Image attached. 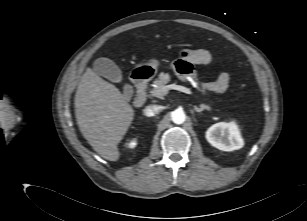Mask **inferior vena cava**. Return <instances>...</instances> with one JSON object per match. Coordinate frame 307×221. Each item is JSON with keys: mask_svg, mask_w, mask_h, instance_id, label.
I'll return each mask as SVG.
<instances>
[{"mask_svg": "<svg viewBox=\"0 0 307 221\" xmlns=\"http://www.w3.org/2000/svg\"><path fill=\"white\" fill-rule=\"evenodd\" d=\"M159 111V106L150 105L144 110L146 116H154Z\"/></svg>", "mask_w": 307, "mask_h": 221, "instance_id": "obj_1", "label": "inferior vena cava"}]
</instances>
